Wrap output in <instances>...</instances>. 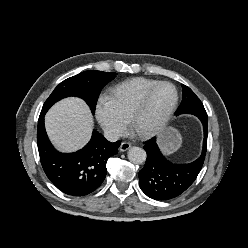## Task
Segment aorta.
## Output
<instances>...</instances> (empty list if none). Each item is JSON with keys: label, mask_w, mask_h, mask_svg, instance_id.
<instances>
[{"label": "aorta", "mask_w": 248, "mask_h": 248, "mask_svg": "<svg viewBox=\"0 0 248 248\" xmlns=\"http://www.w3.org/2000/svg\"><path fill=\"white\" fill-rule=\"evenodd\" d=\"M128 159L134 164H142L146 160V151L140 147H132L128 150Z\"/></svg>", "instance_id": "aorta-1"}]
</instances>
